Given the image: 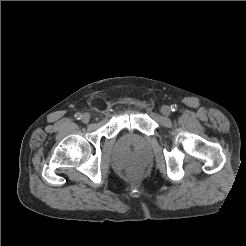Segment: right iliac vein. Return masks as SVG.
<instances>
[{
  "instance_id": "right-iliac-vein-1",
  "label": "right iliac vein",
  "mask_w": 246,
  "mask_h": 246,
  "mask_svg": "<svg viewBox=\"0 0 246 246\" xmlns=\"http://www.w3.org/2000/svg\"><path fill=\"white\" fill-rule=\"evenodd\" d=\"M83 123H88L90 121V115L87 113H84L81 118Z\"/></svg>"
}]
</instances>
